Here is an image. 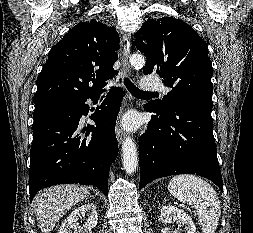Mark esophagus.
I'll list each match as a JSON object with an SVG mask.
<instances>
[{"label":"esophagus","instance_id":"34e87169","mask_svg":"<svg viewBox=\"0 0 253 233\" xmlns=\"http://www.w3.org/2000/svg\"><path fill=\"white\" fill-rule=\"evenodd\" d=\"M130 47H131V34L127 33V34H124L122 37V48H123L122 67H123V71L126 74V76H129V77L131 75V68H130V64H129ZM127 104H128V94H126V98H125L124 104L122 106V110L119 114L118 121L116 124V130H115L116 131V138H117V141L119 144L122 143L123 135H124L123 131L120 127V119H121L123 110L127 106Z\"/></svg>","mask_w":253,"mask_h":233}]
</instances>
